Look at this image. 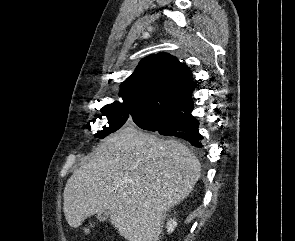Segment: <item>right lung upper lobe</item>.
<instances>
[{
	"label": "right lung upper lobe",
	"instance_id": "obj_1",
	"mask_svg": "<svg viewBox=\"0 0 295 241\" xmlns=\"http://www.w3.org/2000/svg\"><path fill=\"white\" fill-rule=\"evenodd\" d=\"M194 82L188 66L167 53L144 58L121 85L119 96L146 109L169 114L192 103Z\"/></svg>",
	"mask_w": 295,
	"mask_h": 241
}]
</instances>
